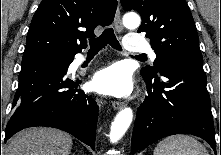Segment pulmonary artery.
Here are the masks:
<instances>
[{"mask_svg":"<svg viewBox=\"0 0 221 155\" xmlns=\"http://www.w3.org/2000/svg\"><path fill=\"white\" fill-rule=\"evenodd\" d=\"M125 49L133 53L148 52L152 59L156 58L155 53L150 49L148 43L139 34H128L124 40ZM86 61L84 56H79L75 60V65H81Z\"/></svg>","mask_w":221,"mask_h":155,"instance_id":"obj_1","label":"pulmonary artery"}]
</instances>
